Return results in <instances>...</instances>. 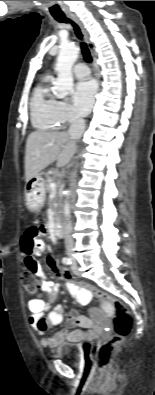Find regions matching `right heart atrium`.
Here are the masks:
<instances>
[{
    "mask_svg": "<svg viewBox=\"0 0 155 395\" xmlns=\"http://www.w3.org/2000/svg\"><path fill=\"white\" fill-rule=\"evenodd\" d=\"M56 115L60 126H66L79 120V117L72 106L66 101L57 102Z\"/></svg>",
    "mask_w": 155,
    "mask_h": 395,
    "instance_id": "d8ad5b80",
    "label": "right heart atrium"
}]
</instances>
